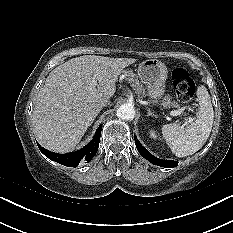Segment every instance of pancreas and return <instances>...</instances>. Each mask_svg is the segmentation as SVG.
Here are the masks:
<instances>
[{
    "mask_svg": "<svg viewBox=\"0 0 233 233\" xmlns=\"http://www.w3.org/2000/svg\"><path fill=\"white\" fill-rule=\"evenodd\" d=\"M123 74L126 76V80L131 84L132 88L135 90L136 94H138L139 97L145 96V89L141 82L138 80L137 76L131 72V71H123ZM163 107L165 108H180V105L176 101H171V98L169 96H166L163 98L162 103Z\"/></svg>",
    "mask_w": 233,
    "mask_h": 233,
    "instance_id": "obj_1",
    "label": "pancreas"
}]
</instances>
